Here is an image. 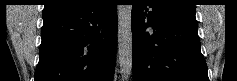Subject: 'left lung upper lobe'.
<instances>
[{
    "mask_svg": "<svg viewBox=\"0 0 237 81\" xmlns=\"http://www.w3.org/2000/svg\"><path fill=\"white\" fill-rule=\"evenodd\" d=\"M160 3L173 7L176 9H181L189 12H196L195 4L193 0H157Z\"/></svg>",
    "mask_w": 237,
    "mask_h": 81,
    "instance_id": "left-lung-upper-lobe-1",
    "label": "left lung upper lobe"
}]
</instances>
